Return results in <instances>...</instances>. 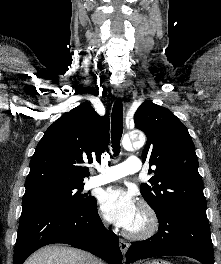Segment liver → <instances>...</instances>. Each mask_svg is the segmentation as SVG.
I'll use <instances>...</instances> for the list:
<instances>
[{"instance_id": "1", "label": "liver", "mask_w": 221, "mask_h": 264, "mask_svg": "<svg viewBox=\"0 0 221 264\" xmlns=\"http://www.w3.org/2000/svg\"><path fill=\"white\" fill-rule=\"evenodd\" d=\"M24 264H103L84 251L65 246H47L31 255Z\"/></svg>"}]
</instances>
